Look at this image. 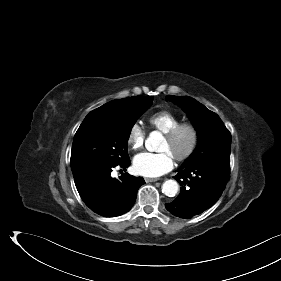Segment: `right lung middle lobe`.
I'll return each instance as SVG.
<instances>
[{
  "label": "right lung middle lobe",
  "mask_w": 281,
  "mask_h": 281,
  "mask_svg": "<svg viewBox=\"0 0 281 281\" xmlns=\"http://www.w3.org/2000/svg\"><path fill=\"white\" fill-rule=\"evenodd\" d=\"M152 100L150 96H136L114 110L91 111L74 136L71 169L100 163L117 165L128 160L131 129Z\"/></svg>",
  "instance_id": "obj_1"
}]
</instances>
